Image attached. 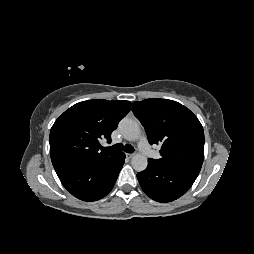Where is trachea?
<instances>
[{
    "instance_id": "trachea-1",
    "label": "trachea",
    "mask_w": 254,
    "mask_h": 254,
    "mask_svg": "<svg viewBox=\"0 0 254 254\" xmlns=\"http://www.w3.org/2000/svg\"><path fill=\"white\" fill-rule=\"evenodd\" d=\"M102 151L105 152H118V151H125L127 153H132L134 151L133 146L131 145H125L123 146L122 144H115L113 146L110 147H101Z\"/></svg>"
}]
</instances>
